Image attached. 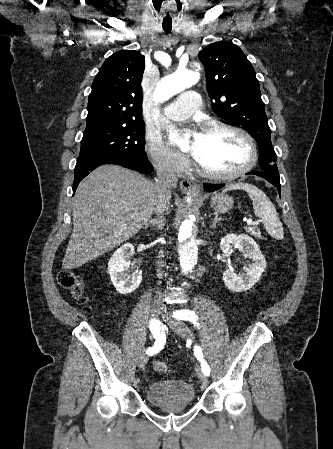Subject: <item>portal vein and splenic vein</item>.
Instances as JSON below:
<instances>
[{"instance_id": "portal-vein-and-splenic-vein-1", "label": "portal vein and splenic vein", "mask_w": 333, "mask_h": 449, "mask_svg": "<svg viewBox=\"0 0 333 449\" xmlns=\"http://www.w3.org/2000/svg\"><path fill=\"white\" fill-rule=\"evenodd\" d=\"M247 225H258L259 223H254L251 219H248L247 221Z\"/></svg>"}]
</instances>
